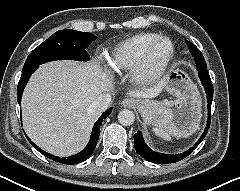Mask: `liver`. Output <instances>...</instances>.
<instances>
[{
	"label": "liver",
	"instance_id": "obj_1",
	"mask_svg": "<svg viewBox=\"0 0 240 191\" xmlns=\"http://www.w3.org/2000/svg\"><path fill=\"white\" fill-rule=\"evenodd\" d=\"M113 80L97 63L54 61L31 76L22 96L23 127L40 148L56 156H70L87 144L99 111L92 102L113 91ZM164 80L145 90H132L135 98H154Z\"/></svg>",
	"mask_w": 240,
	"mask_h": 191
}]
</instances>
